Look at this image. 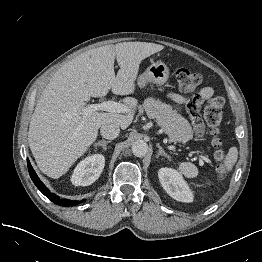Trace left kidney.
Instances as JSON below:
<instances>
[{
  "label": "left kidney",
  "instance_id": "obj_1",
  "mask_svg": "<svg viewBox=\"0 0 262 262\" xmlns=\"http://www.w3.org/2000/svg\"><path fill=\"white\" fill-rule=\"evenodd\" d=\"M163 189L175 200L190 203L193 193L182 176L174 169L161 168L158 172Z\"/></svg>",
  "mask_w": 262,
  "mask_h": 262
}]
</instances>
